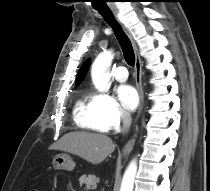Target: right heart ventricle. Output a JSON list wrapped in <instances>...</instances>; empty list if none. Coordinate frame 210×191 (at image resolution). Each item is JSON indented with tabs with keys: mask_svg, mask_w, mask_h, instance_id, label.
Returning <instances> with one entry per match:
<instances>
[{
	"mask_svg": "<svg viewBox=\"0 0 210 191\" xmlns=\"http://www.w3.org/2000/svg\"><path fill=\"white\" fill-rule=\"evenodd\" d=\"M74 118L77 125L81 128L102 133L108 131L96 113L92 98L87 95L82 96L77 101L74 109Z\"/></svg>",
	"mask_w": 210,
	"mask_h": 191,
	"instance_id": "obj_1",
	"label": "right heart ventricle"
}]
</instances>
